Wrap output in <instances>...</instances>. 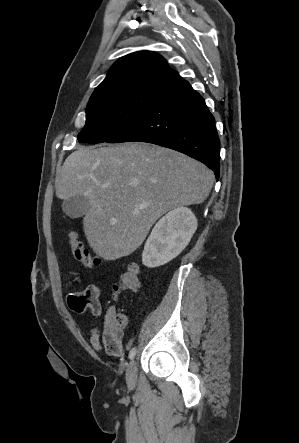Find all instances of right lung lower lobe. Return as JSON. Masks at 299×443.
<instances>
[{"label": "right lung lower lobe", "mask_w": 299, "mask_h": 443, "mask_svg": "<svg viewBox=\"0 0 299 443\" xmlns=\"http://www.w3.org/2000/svg\"><path fill=\"white\" fill-rule=\"evenodd\" d=\"M148 142L187 154L219 178L220 141L203 97L186 80L174 84L107 143Z\"/></svg>", "instance_id": "obj_1"}]
</instances>
